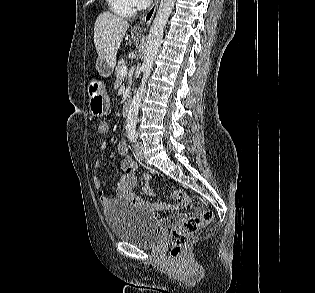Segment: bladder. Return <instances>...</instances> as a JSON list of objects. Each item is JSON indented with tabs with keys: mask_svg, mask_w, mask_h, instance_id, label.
<instances>
[{
	"mask_svg": "<svg viewBox=\"0 0 315 293\" xmlns=\"http://www.w3.org/2000/svg\"><path fill=\"white\" fill-rule=\"evenodd\" d=\"M113 236L139 247L154 246L161 237L159 225L142 208L129 203H114L104 210Z\"/></svg>",
	"mask_w": 315,
	"mask_h": 293,
	"instance_id": "bladder-1",
	"label": "bladder"
}]
</instances>
